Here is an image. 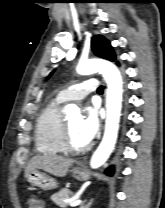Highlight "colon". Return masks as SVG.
Segmentation results:
<instances>
[{"label":"colon","mask_w":165,"mask_h":208,"mask_svg":"<svg viewBox=\"0 0 165 208\" xmlns=\"http://www.w3.org/2000/svg\"><path fill=\"white\" fill-rule=\"evenodd\" d=\"M27 202L29 208H42V202L37 196L28 197Z\"/></svg>","instance_id":"obj_1"}]
</instances>
